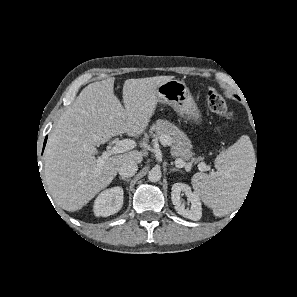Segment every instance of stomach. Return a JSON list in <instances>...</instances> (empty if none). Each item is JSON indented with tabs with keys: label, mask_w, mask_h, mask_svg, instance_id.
I'll list each match as a JSON object with an SVG mask.
<instances>
[{
	"label": "stomach",
	"mask_w": 297,
	"mask_h": 297,
	"mask_svg": "<svg viewBox=\"0 0 297 297\" xmlns=\"http://www.w3.org/2000/svg\"><path fill=\"white\" fill-rule=\"evenodd\" d=\"M155 92L158 103L170 105L178 115L193 124H201V112L183 81L171 79L160 84Z\"/></svg>",
	"instance_id": "0dacf381"
}]
</instances>
